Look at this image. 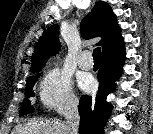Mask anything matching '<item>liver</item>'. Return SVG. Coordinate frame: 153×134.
<instances>
[{
	"instance_id": "1",
	"label": "liver",
	"mask_w": 153,
	"mask_h": 134,
	"mask_svg": "<svg viewBox=\"0 0 153 134\" xmlns=\"http://www.w3.org/2000/svg\"><path fill=\"white\" fill-rule=\"evenodd\" d=\"M13 134H65V123L59 121H35L15 127Z\"/></svg>"
}]
</instances>
